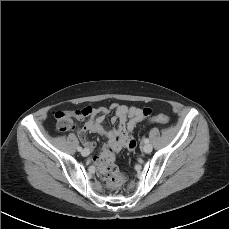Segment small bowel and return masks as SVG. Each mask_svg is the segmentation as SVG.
<instances>
[{"mask_svg": "<svg viewBox=\"0 0 229 229\" xmlns=\"http://www.w3.org/2000/svg\"><path fill=\"white\" fill-rule=\"evenodd\" d=\"M110 110L115 111V115L112 117V121L118 122L119 124L117 128L107 130L103 127L102 124L105 118V114H107ZM84 112H87L88 115L84 116ZM73 113L79 120L88 117L84 125L77 131L81 142L87 150L93 148L94 144L87 140L86 134L99 133L108 139V147L114 153H118L122 147H126L129 150L135 149L136 141L133 137L128 135V132L132 131L136 124L145 119L141 108L128 107L118 103H113L109 108L87 107L83 110L74 111ZM91 161L97 165L99 170L101 169V160L98 157H92Z\"/></svg>", "mask_w": 229, "mask_h": 229, "instance_id": "c3829d8e", "label": "small bowel"}]
</instances>
